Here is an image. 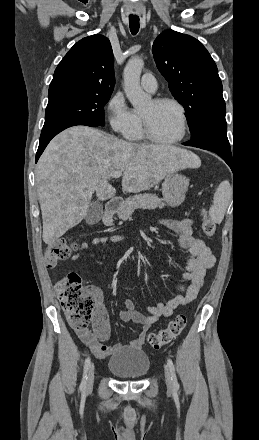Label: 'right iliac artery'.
I'll list each match as a JSON object with an SVG mask.
<instances>
[{
	"mask_svg": "<svg viewBox=\"0 0 259 440\" xmlns=\"http://www.w3.org/2000/svg\"><path fill=\"white\" fill-rule=\"evenodd\" d=\"M90 366V357H87L85 360V365H84V373H83V379L80 385V389L82 391H85L86 388V380H87V372Z\"/></svg>",
	"mask_w": 259,
	"mask_h": 440,
	"instance_id": "obj_1",
	"label": "right iliac artery"
}]
</instances>
